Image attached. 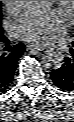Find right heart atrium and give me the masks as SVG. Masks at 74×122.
Here are the masks:
<instances>
[{"label":"right heart atrium","instance_id":"obj_1","mask_svg":"<svg viewBox=\"0 0 74 122\" xmlns=\"http://www.w3.org/2000/svg\"><path fill=\"white\" fill-rule=\"evenodd\" d=\"M3 5L8 13H16L20 10L21 1H3Z\"/></svg>","mask_w":74,"mask_h":122}]
</instances>
